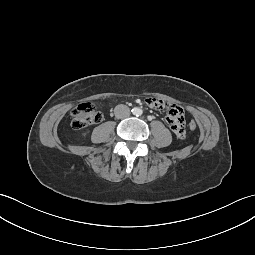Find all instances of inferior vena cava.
I'll return each mask as SVG.
<instances>
[{"label": "inferior vena cava", "instance_id": "inferior-vena-cava-1", "mask_svg": "<svg viewBox=\"0 0 255 255\" xmlns=\"http://www.w3.org/2000/svg\"><path fill=\"white\" fill-rule=\"evenodd\" d=\"M114 113L117 118L122 119L130 115V109L128 106L120 104L115 107Z\"/></svg>", "mask_w": 255, "mask_h": 255}]
</instances>
